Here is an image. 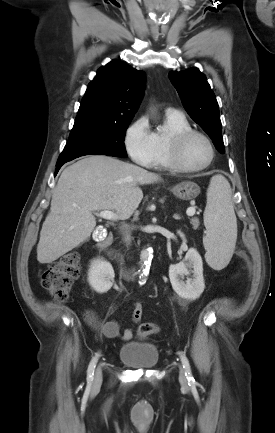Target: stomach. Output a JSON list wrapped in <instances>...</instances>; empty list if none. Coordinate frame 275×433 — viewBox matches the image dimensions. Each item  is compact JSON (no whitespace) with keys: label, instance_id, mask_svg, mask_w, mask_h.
Segmentation results:
<instances>
[{"label":"stomach","instance_id":"1","mask_svg":"<svg viewBox=\"0 0 275 433\" xmlns=\"http://www.w3.org/2000/svg\"><path fill=\"white\" fill-rule=\"evenodd\" d=\"M172 193L179 199L192 200L200 194V187L191 181H184L171 189Z\"/></svg>","mask_w":275,"mask_h":433}]
</instances>
